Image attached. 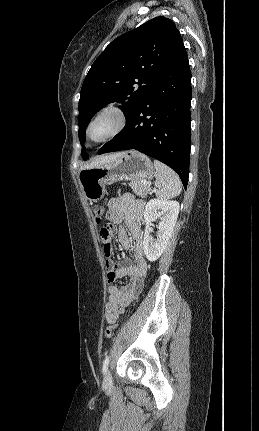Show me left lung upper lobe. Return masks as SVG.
<instances>
[{"label": "left lung upper lobe", "instance_id": "1", "mask_svg": "<svg viewBox=\"0 0 259 431\" xmlns=\"http://www.w3.org/2000/svg\"><path fill=\"white\" fill-rule=\"evenodd\" d=\"M182 45L175 23L163 16L112 41L95 60L82 85L78 107L81 145L92 116L104 105L123 103L126 107L122 111L128 119ZM81 155L84 160L89 157L84 147Z\"/></svg>", "mask_w": 259, "mask_h": 431}]
</instances>
